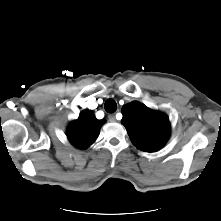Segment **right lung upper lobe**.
Instances as JSON below:
<instances>
[{
    "instance_id": "obj_1",
    "label": "right lung upper lobe",
    "mask_w": 221,
    "mask_h": 221,
    "mask_svg": "<svg viewBox=\"0 0 221 221\" xmlns=\"http://www.w3.org/2000/svg\"><path fill=\"white\" fill-rule=\"evenodd\" d=\"M104 123L105 120L96 119L93 111L84 110L67 128V137L75 147L84 149L97 139Z\"/></svg>"
}]
</instances>
